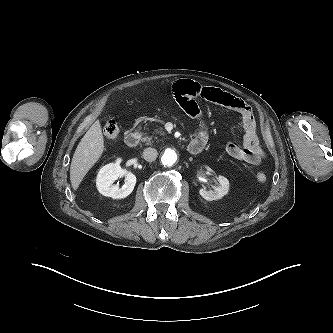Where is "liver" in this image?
<instances>
[{"instance_id":"6515ba94","label":"liver","mask_w":333,"mask_h":333,"mask_svg":"<svg viewBox=\"0 0 333 333\" xmlns=\"http://www.w3.org/2000/svg\"><path fill=\"white\" fill-rule=\"evenodd\" d=\"M104 151V137L100 122L95 121L79 142L70 166V181L77 190L87 172L99 160Z\"/></svg>"}]
</instances>
